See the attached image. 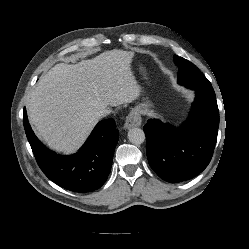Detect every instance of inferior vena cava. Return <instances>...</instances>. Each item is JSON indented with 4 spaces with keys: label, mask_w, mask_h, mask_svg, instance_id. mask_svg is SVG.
I'll return each instance as SVG.
<instances>
[{
    "label": "inferior vena cava",
    "mask_w": 249,
    "mask_h": 249,
    "mask_svg": "<svg viewBox=\"0 0 249 249\" xmlns=\"http://www.w3.org/2000/svg\"><path fill=\"white\" fill-rule=\"evenodd\" d=\"M110 113H111V109L104 108V109H101L100 111H98V112L96 113V116H97L98 118H101V117H104V116H106V115H108V114H110Z\"/></svg>",
    "instance_id": "602c4592"
}]
</instances>
